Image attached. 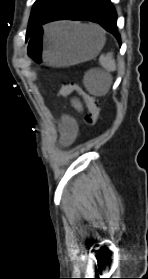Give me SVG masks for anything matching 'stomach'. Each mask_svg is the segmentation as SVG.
I'll list each match as a JSON object with an SVG mask.
<instances>
[{"label":"stomach","instance_id":"0dacf381","mask_svg":"<svg viewBox=\"0 0 148 279\" xmlns=\"http://www.w3.org/2000/svg\"><path fill=\"white\" fill-rule=\"evenodd\" d=\"M59 28L53 33L50 29ZM45 34H31V39H39L27 44L29 63L45 66V69H69L70 65L94 58L105 43L102 30L97 27L88 32L80 25L69 23L42 24Z\"/></svg>","mask_w":148,"mask_h":279}]
</instances>
